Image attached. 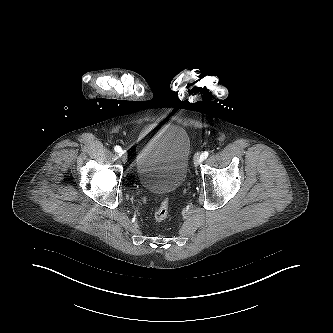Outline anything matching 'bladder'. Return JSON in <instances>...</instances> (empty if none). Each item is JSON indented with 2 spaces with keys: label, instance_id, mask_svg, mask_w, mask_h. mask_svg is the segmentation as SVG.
<instances>
[{
  "label": "bladder",
  "instance_id": "1",
  "mask_svg": "<svg viewBox=\"0 0 333 333\" xmlns=\"http://www.w3.org/2000/svg\"><path fill=\"white\" fill-rule=\"evenodd\" d=\"M191 141L178 125H164L143 134L138 142L135 172L139 184L149 192L167 194L185 182Z\"/></svg>",
  "mask_w": 333,
  "mask_h": 333
}]
</instances>
